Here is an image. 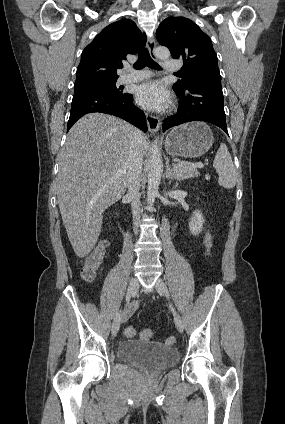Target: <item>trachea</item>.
<instances>
[{"label":"trachea","instance_id":"3493384b","mask_svg":"<svg viewBox=\"0 0 285 424\" xmlns=\"http://www.w3.org/2000/svg\"><path fill=\"white\" fill-rule=\"evenodd\" d=\"M145 66H148L152 69L155 70H160L161 67L158 63H156L155 61L152 60V58L150 57V54L148 52L147 49H142L141 51H139L138 54V60L136 61V63L134 64V68L135 69H141ZM179 73V72H178Z\"/></svg>","mask_w":285,"mask_h":424}]
</instances>
